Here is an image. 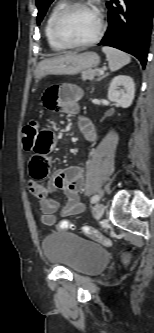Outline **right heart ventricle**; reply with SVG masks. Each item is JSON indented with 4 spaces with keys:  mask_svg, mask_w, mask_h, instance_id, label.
Returning <instances> with one entry per match:
<instances>
[{
    "mask_svg": "<svg viewBox=\"0 0 154 333\" xmlns=\"http://www.w3.org/2000/svg\"><path fill=\"white\" fill-rule=\"evenodd\" d=\"M66 4L65 0H58L53 7L50 9L44 26V33L47 39L49 46L56 51H63L68 49V47L62 45L57 41L53 34V21L59 10Z\"/></svg>",
    "mask_w": 154,
    "mask_h": 333,
    "instance_id": "right-heart-ventricle-1",
    "label": "right heart ventricle"
}]
</instances>
